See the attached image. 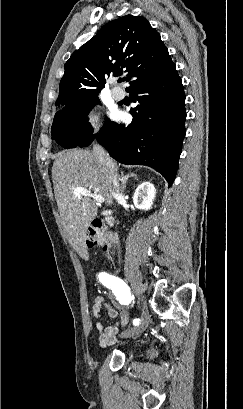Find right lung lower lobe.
<instances>
[{"mask_svg":"<svg viewBox=\"0 0 243 409\" xmlns=\"http://www.w3.org/2000/svg\"><path fill=\"white\" fill-rule=\"evenodd\" d=\"M138 105L131 110L132 123L125 127L109 121L96 135L115 160L147 165L172 185L178 169L185 130V94L175 66L167 72L128 89ZM94 135L78 146H89Z\"/></svg>","mask_w":243,"mask_h":409,"instance_id":"1","label":"right lung lower lobe"}]
</instances>
